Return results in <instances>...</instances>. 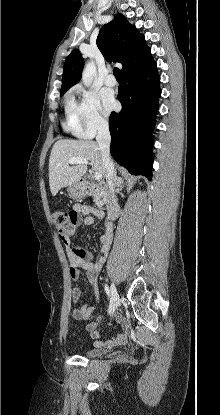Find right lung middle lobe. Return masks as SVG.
Segmentation results:
<instances>
[{"mask_svg":"<svg viewBox=\"0 0 220 415\" xmlns=\"http://www.w3.org/2000/svg\"><path fill=\"white\" fill-rule=\"evenodd\" d=\"M64 93H65V92H61V93H60V96H62Z\"/></svg>","mask_w":220,"mask_h":415,"instance_id":"1","label":"right lung middle lobe"}]
</instances>
